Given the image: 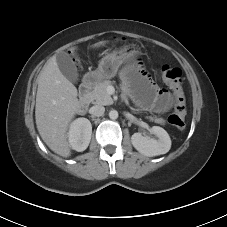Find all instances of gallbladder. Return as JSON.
I'll return each mask as SVG.
<instances>
[{"label":"gallbladder","mask_w":227,"mask_h":227,"mask_svg":"<svg viewBox=\"0 0 227 227\" xmlns=\"http://www.w3.org/2000/svg\"><path fill=\"white\" fill-rule=\"evenodd\" d=\"M57 65L62 72V74L72 83L77 82L78 73L77 68L70 58V56L65 52H60L56 55Z\"/></svg>","instance_id":"1"}]
</instances>
